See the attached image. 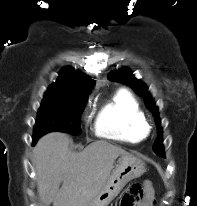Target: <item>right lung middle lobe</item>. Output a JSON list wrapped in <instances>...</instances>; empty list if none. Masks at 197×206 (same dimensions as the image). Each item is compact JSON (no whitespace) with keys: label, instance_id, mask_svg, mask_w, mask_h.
Returning a JSON list of instances; mask_svg holds the SVG:
<instances>
[{"label":"right lung middle lobe","instance_id":"obj_1","mask_svg":"<svg viewBox=\"0 0 197 206\" xmlns=\"http://www.w3.org/2000/svg\"><path fill=\"white\" fill-rule=\"evenodd\" d=\"M87 97L88 95L46 93L38 111L33 141L53 131L80 134L81 114Z\"/></svg>","mask_w":197,"mask_h":206}]
</instances>
